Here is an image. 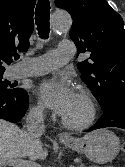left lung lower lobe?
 <instances>
[{
	"mask_svg": "<svg viewBox=\"0 0 125 167\" xmlns=\"http://www.w3.org/2000/svg\"><path fill=\"white\" fill-rule=\"evenodd\" d=\"M104 114L95 126L87 131L105 127H118L125 129V100H114L103 109Z\"/></svg>",
	"mask_w": 125,
	"mask_h": 167,
	"instance_id": "left-lung-lower-lobe-1",
	"label": "left lung lower lobe"
}]
</instances>
